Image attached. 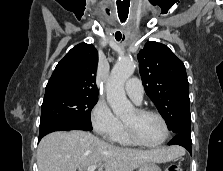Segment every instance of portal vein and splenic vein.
<instances>
[{"label":"portal vein and splenic vein","instance_id":"obj_1","mask_svg":"<svg viewBox=\"0 0 223 171\" xmlns=\"http://www.w3.org/2000/svg\"><path fill=\"white\" fill-rule=\"evenodd\" d=\"M97 165H91L87 168V171H95L97 169Z\"/></svg>","mask_w":223,"mask_h":171}]
</instances>
